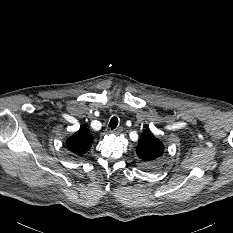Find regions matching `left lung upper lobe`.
Instances as JSON below:
<instances>
[{
  "mask_svg": "<svg viewBox=\"0 0 233 233\" xmlns=\"http://www.w3.org/2000/svg\"><path fill=\"white\" fill-rule=\"evenodd\" d=\"M142 166L152 170L161 164V156L164 153V145L151 132L144 131L136 148Z\"/></svg>",
  "mask_w": 233,
  "mask_h": 233,
  "instance_id": "1",
  "label": "left lung upper lobe"
}]
</instances>
